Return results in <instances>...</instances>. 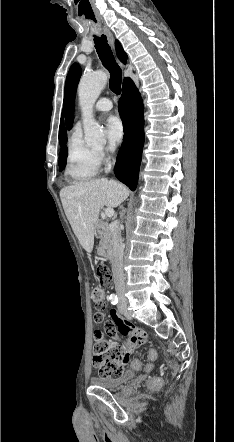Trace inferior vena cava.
Returning a JSON list of instances; mask_svg holds the SVG:
<instances>
[{"mask_svg":"<svg viewBox=\"0 0 234 442\" xmlns=\"http://www.w3.org/2000/svg\"><path fill=\"white\" fill-rule=\"evenodd\" d=\"M112 246H113V260H112V272L115 284V290L118 297L125 301V276L123 271V254L124 244L121 236V229L119 224L115 226L112 231Z\"/></svg>","mask_w":234,"mask_h":442,"instance_id":"inferior-vena-cava-1","label":"inferior vena cava"}]
</instances>
